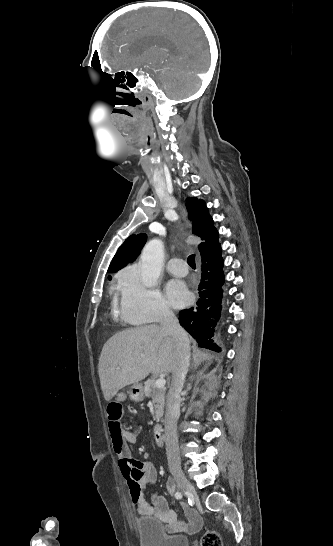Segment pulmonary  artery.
Here are the masks:
<instances>
[{"label":"pulmonary artery","mask_w":333,"mask_h":546,"mask_svg":"<svg viewBox=\"0 0 333 546\" xmlns=\"http://www.w3.org/2000/svg\"><path fill=\"white\" fill-rule=\"evenodd\" d=\"M167 270L176 276H185L188 273V267L183 259L172 258L167 262Z\"/></svg>","instance_id":"obj_1"}]
</instances>
